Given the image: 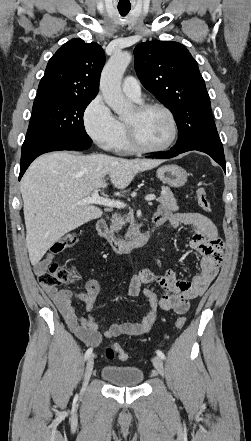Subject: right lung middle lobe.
I'll return each instance as SVG.
<instances>
[{"label":"right lung middle lobe","instance_id":"right-lung-middle-lobe-1","mask_svg":"<svg viewBox=\"0 0 251 441\" xmlns=\"http://www.w3.org/2000/svg\"><path fill=\"white\" fill-rule=\"evenodd\" d=\"M93 98H54L34 101L27 132L38 131L63 141L92 143L83 114Z\"/></svg>","mask_w":251,"mask_h":441}]
</instances>
